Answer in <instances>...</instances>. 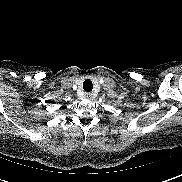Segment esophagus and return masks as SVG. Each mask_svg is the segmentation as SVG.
Segmentation results:
<instances>
[{
  "label": "esophagus",
  "mask_w": 182,
  "mask_h": 182,
  "mask_svg": "<svg viewBox=\"0 0 182 182\" xmlns=\"http://www.w3.org/2000/svg\"><path fill=\"white\" fill-rule=\"evenodd\" d=\"M85 97L87 99H92L93 98V94L91 92H87V93H85Z\"/></svg>",
  "instance_id": "34e87169"
}]
</instances>
